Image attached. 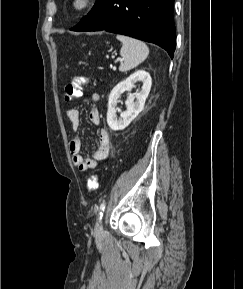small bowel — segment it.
<instances>
[{"label": "small bowel", "mask_w": 243, "mask_h": 289, "mask_svg": "<svg viewBox=\"0 0 243 289\" xmlns=\"http://www.w3.org/2000/svg\"><path fill=\"white\" fill-rule=\"evenodd\" d=\"M100 99L98 93H90L85 99V102L96 103ZM67 117L70 121L71 128L77 131L80 126V113L78 108L73 107L67 111ZM89 120L94 125H100L101 118L98 109L93 108L89 112ZM98 146L92 150L87 157H83L80 153L81 141L79 138H73L69 143V150L73 164L80 171H87L97 166L99 161H103L108 157L110 150V137L105 128H100L98 135Z\"/></svg>", "instance_id": "c3829d8e"}]
</instances>
